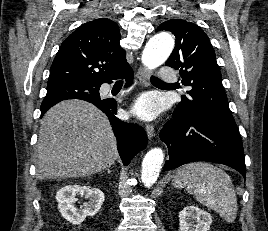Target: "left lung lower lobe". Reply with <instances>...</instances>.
<instances>
[{
	"label": "left lung lower lobe",
	"instance_id": "left-lung-lower-lobe-1",
	"mask_svg": "<svg viewBox=\"0 0 268 231\" xmlns=\"http://www.w3.org/2000/svg\"><path fill=\"white\" fill-rule=\"evenodd\" d=\"M160 138L169 151L164 171L189 162L208 161L225 164L246 176L239 131L220 122L173 112V119L163 126Z\"/></svg>",
	"mask_w": 268,
	"mask_h": 231
}]
</instances>
